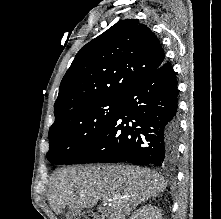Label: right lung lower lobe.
<instances>
[{"label":"right lung lower lobe","mask_w":221,"mask_h":219,"mask_svg":"<svg viewBox=\"0 0 221 219\" xmlns=\"http://www.w3.org/2000/svg\"><path fill=\"white\" fill-rule=\"evenodd\" d=\"M177 81L169 62L132 86L101 134L65 165L128 162L168 166L177 156Z\"/></svg>","instance_id":"obj_1"}]
</instances>
